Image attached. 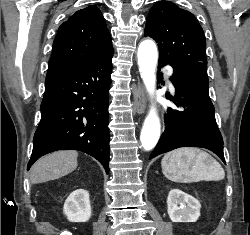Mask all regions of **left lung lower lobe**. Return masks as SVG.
<instances>
[{
  "instance_id": "obj_1",
  "label": "left lung lower lobe",
  "mask_w": 250,
  "mask_h": 235,
  "mask_svg": "<svg viewBox=\"0 0 250 235\" xmlns=\"http://www.w3.org/2000/svg\"><path fill=\"white\" fill-rule=\"evenodd\" d=\"M167 64L159 60L158 68ZM172 67L173 76L170 79L175 87V98L171 100L180 109H168L165 131L150 159L176 148L190 146L209 149L225 163L223 139L209 97L207 67L202 63ZM159 78H162L161 73Z\"/></svg>"
}]
</instances>
